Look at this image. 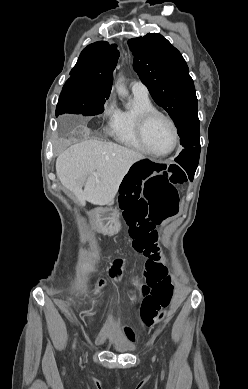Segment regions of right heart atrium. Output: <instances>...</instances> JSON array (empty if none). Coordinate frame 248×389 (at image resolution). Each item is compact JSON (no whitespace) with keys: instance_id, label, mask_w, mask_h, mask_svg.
I'll use <instances>...</instances> for the list:
<instances>
[{"instance_id":"1","label":"right heart atrium","mask_w":248,"mask_h":389,"mask_svg":"<svg viewBox=\"0 0 248 389\" xmlns=\"http://www.w3.org/2000/svg\"><path fill=\"white\" fill-rule=\"evenodd\" d=\"M116 109L117 108L113 100L111 98H108L104 103L102 115L104 118L110 119L111 124H112L113 117L116 113Z\"/></svg>"}]
</instances>
